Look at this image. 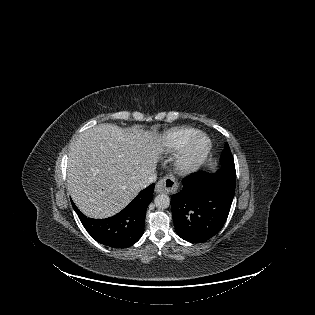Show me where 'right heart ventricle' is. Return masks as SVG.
Returning a JSON list of instances; mask_svg holds the SVG:
<instances>
[{
	"label": "right heart ventricle",
	"mask_w": 315,
	"mask_h": 315,
	"mask_svg": "<svg viewBox=\"0 0 315 315\" xmlns=\"http://www.w3.org/2000/svg\"><path fill=\"white\" fill-rule=\"evenodd\" d=\"M199 130L189 127H176L166 131L160 138L161 147L170 152L183 149Z\"/></svg>",
	"instance_id": "1"
}]
</instances>
